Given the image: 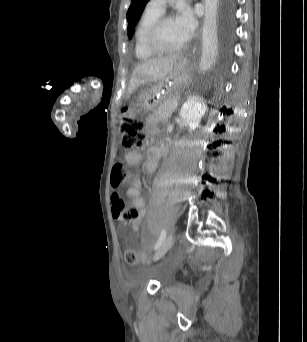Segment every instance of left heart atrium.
Instances as JSON below:
<instances>
[{"instance_id":"left-heart-atrium-1","label":"left heart atrium","mask_w":307,"mask_h":342,"mask_svg":"<svg viewBox=\"0 0 307 342\" xmlns=\"http://www.w3.org/2000/svg\"><path fill=\"white\" fill-rule=\"evenodd\" d=\"M178 30L185 42L190 41L196 31V21L190 12H184L176 20Z\"/></svg>"}]
</instances>
